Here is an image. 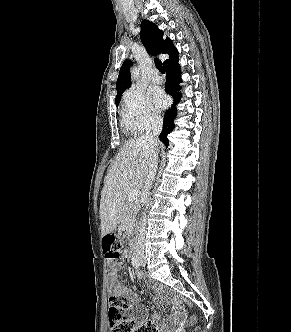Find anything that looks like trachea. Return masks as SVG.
Segmentation results:
<instances>
[{
    "mask_svg": "<svg viewBox=\"0 0 291 332\" xmlns=\"http://www.w3.org/2000/svg\"><path fill=\"white\" fill-rule=\"evenodd\" d=\"M155 66H156V68H157L162 74L165 73V70H164V68H163V66H162V62H161V61H156V62H155Z\"/></svg>",
    "mask_w": 291,
    "mask_h": 332,
    "instance_id": "3493384b",
    "label": "trachea"
}]
</instances>
